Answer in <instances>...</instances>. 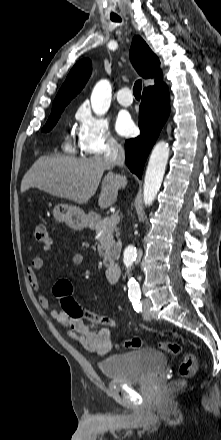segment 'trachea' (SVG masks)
<instances>
[{"label": "trachea", "mask_w": 221, "mask_h": 440, "mask_svg": "<svg viewBox=\"0 0 221 440\" xmlns=\"http://www.w3.org/2000/svg\"><path fill=\"white\" fill-rule=\"evenodd\" d=\"M111 20L114 22H121V18H117V17H111ZM141 89H142V81L139 79L138 81L135 82L133 87V94L135 98L140 99Z\"/></svg>", "instance_id": "3493384b"}]
</instances>
